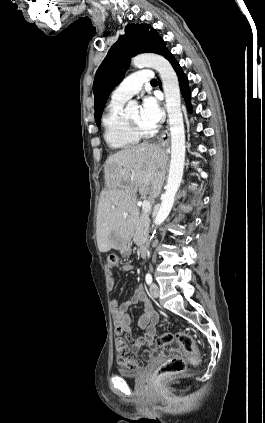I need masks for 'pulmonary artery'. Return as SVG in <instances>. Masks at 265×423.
Here are the masks:
<instances>
[{"mask_svg":"<svg viewBox=\"0 0 265 423\" xmlns=\"http://www.w3.org/2000/svg\"><path fill=\"white\" fill-rule=\"evenodd\" d=\"M153 79L151 70H139L127 77L113 92L112 99L127 101L139 92L144 83Z\"/></svg>","mask_w":265,"mask_h":423,"instance_id":"obj_1","label":"pulmonary artery"}]
</instances>
